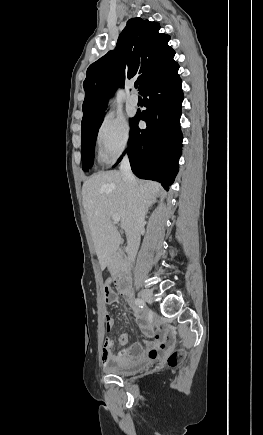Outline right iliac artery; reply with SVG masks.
<instances>
[{
  "label": "right iliac artery",
  "mask_w": 263,
  "mask_h": 435,
  "mask_svg": "<svg viewBox=\"0 0 263 435\" xmlns=\"http://www.w3.org/2000/svg\"><path fill=\"white\" fill-rule=\"evenodd\" d=\"M135 304L142 308L145 305V302L143 299L137 298L135 299Z\"/></svg>",
  "instance_id": "obj_1"
}]
</instances>
